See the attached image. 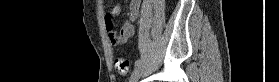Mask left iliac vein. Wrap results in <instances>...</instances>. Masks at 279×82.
Instances as JSON below:
<instances>
[{
    "label": "left iliac vein",
    "mask_w": 279,
    "mask_h": 82,
    "mask_svg": "<svg viewBox=\"0 0 279 82\" xmlns=\"http://www.w3.org/2000/svg\"><path fill=\"white\" fill-rule=\"evenodd\" d=\"M143 73H144V70H143L142 66H140V65L136 66L130 76V82H137L141 78Z\"/></svg>",
    "instance_id": "1"
}]
</instances>
